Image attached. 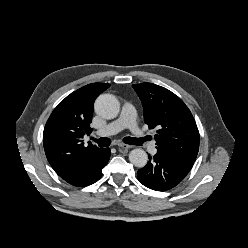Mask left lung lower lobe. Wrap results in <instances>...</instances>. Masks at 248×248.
<instances>
[{
	"label": "left lung lower lobe",
	"mask_w": 248,
	"mask_h": 248,
	"mask_svg": "<svg viewBox=\"0 0 248 248\" xmlns=\"http://www.w3.org/2000/svg\"><path fill=\"white\" fill-rule=\"evenodd\" d=\"M194 162L157 152L148 164L138 170L137 178L144 186L167 191L178 185L189 173Z\"/></svg>",
	"instance_id": "1"
}]
</instances>
